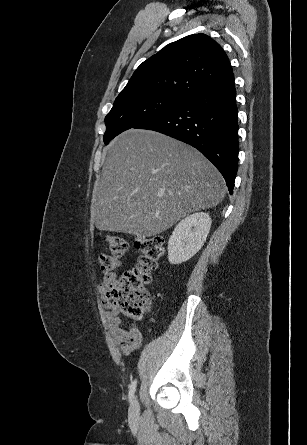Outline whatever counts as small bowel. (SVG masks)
Returning <instances> with one entry per match:
<instances>
[{"label": "small bowel", "mask_w": 307, "mask_h": 445, "mask_svg": "<svg viewBox=\"0 0 307 445\" xmlns=\"http://www.w3.org/2000/svg\"><path fill=\"white\" fill-rule=\"evenodd\" d=\"M117 279L115 273H106L98 286V291L101 295L102 302L106 307L104 314L110 326V330L113 333L114 340L119 345L122 353L124 355H129L140 348L142 334L135 326L126 327L120 318L118 311L110 305V299L107 297V290Z\"/></svg>", "instance_id": "obj_1"}]
</instances>
